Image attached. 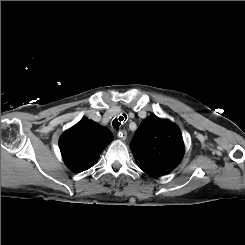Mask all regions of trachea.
<instances>
[{"label": "trachea", "mask_w": 245, "mask_h": 245, "mask_svg": "<svg viewBox=\"0 0 245 245\" xmlns=\"http://www.w3.org/2000/svg\"><path fill=\"white\" fill-rule=\"evenodd\" d=\"M127 120L126 114H121L118 118H115L112 122L114 128L118 129Z\"/></svg>", "instance_id": "trachea-1"}]
</instances>
